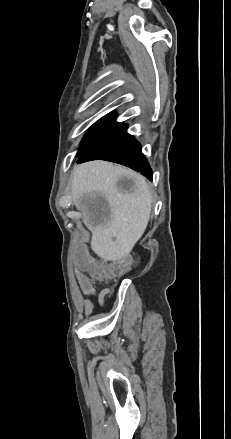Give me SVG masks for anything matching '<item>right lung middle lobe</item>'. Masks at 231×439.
Returning <instances> with one entry per match:
<instances>
[{"label":"right lung middle lobe","mask_w":231,"mask_h":439,"mask_svg":"<svg viewBox=\"0 0 231 439\" xmlns=\"http://www.w3.org/2000/svg\"><path fill=\"white\" fill-rule=\"evenodd\" d=\"M122 123H117L115 119L102 118L91 126L81 142V147L77 157L99 144L106 137L112 134Z\"/></svg>","instance_id":"dd1d6c3e"}]
</instances>
